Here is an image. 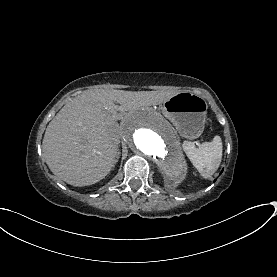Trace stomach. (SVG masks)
<instances>
[{
  "instance_id": "obj_1",
  "label": "stomach",
  "mask_w": 277,
  "mask_h": 277,
  "mask_svg": "<svg viewBox=\"0 0 277 277\" xmlns=\"http://www.w3.org/2000/svg\"><path fill=\"white\" fill-rule=\"evenodd\" d=\"M162 112L185 138L201 135L206 120V104L198 95L180 92L163 103Z\"/></svg>"
}]
</instances>
